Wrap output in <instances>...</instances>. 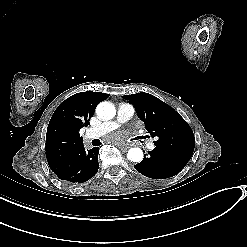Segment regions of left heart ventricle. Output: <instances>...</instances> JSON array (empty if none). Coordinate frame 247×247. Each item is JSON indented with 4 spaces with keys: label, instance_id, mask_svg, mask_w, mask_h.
Listing matches in <instances>:
<instances>
[{
    "label": "left heart ventricle",
    "instance_id": "obj_1",
    "mask_svg": "<svg viewBox=\"0 0 247 247\" xmlns=\"http://www.w3.org/2000/svg\"><path fill=\"white\" fill-rule=\"evenodd\" d=\"M123 129H124V130L130 131V130H132V126H131V125H125V126L123 127Z\"/></svg>",
    "mask_w": 247,
    "mask_h": 247
}]
</instances>
